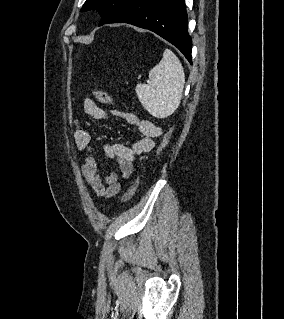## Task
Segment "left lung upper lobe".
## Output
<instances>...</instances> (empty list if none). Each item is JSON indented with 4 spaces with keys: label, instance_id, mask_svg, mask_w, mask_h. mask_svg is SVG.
Returning a JSON list of instances; mask_svg holds the SVG:
<instances>
[{
    "label": "left lung upper lobe",
    "instance_id": "5c2ea615",
    "mask_svg": "<svg viewBox=\"0 0 284 319\" xmlns=\"http://www.w3.org/2000/svg\"><path fill=\"white\" fill-rule=\"evenodd\" d=\"M125 0H86L81 11L96 9L102 19L99 26L105 24L121 7Z\"/></svg>",
    "mask_w": 284,
    "mask_h": 319
}]
</instances>
